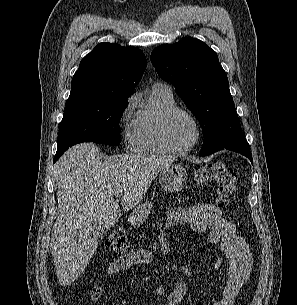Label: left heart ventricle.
<instances>
[{"instance_id":"left-heart-ventricle-1","label":"left heart ventricle","mask_w":297,"mask_h":305,"mask_svg":"<svg viewBox=\"0 0 297 305\" xmlns=\"http://www.w3.org/2000/svg\"><path fill=\"white\" fill-rule=\"evenodd\" d=\"M168 137L176 147H185L195 138L192 121L184 114L174 115L168 123Z\"/></svg>"}]
</instances>
